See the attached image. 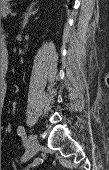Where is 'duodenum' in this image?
I'll use <instances>...</instances> for the list:
<instances>
[{
  "instance_id": "1",
  "label": "duodenum",
  "mask_w": 109,
  "mask_h": 170,
  "mask_svg": "<svg viewBox=\"0 0 109 170\" xmlns=\"http://www.w3.org/2000/svg\"><path fill=\"white\" fill-rule=\"evenodd\" d=\"M2 50L3 51H6V43L3 41V43H2ZM3 64H7V62H8V57H7V54H5L4 56H3Z\"/></svg>"
}]
</instances>
